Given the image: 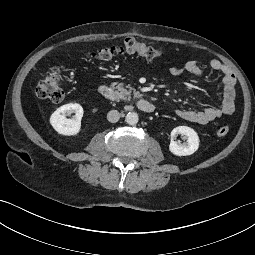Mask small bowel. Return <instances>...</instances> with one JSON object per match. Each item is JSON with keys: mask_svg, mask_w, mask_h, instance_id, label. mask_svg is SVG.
Returning <instances> with one entry per match:
<instances>
[{"mask_svg": "<svg viewBox=\"0 0 255 255\" xmlns=\"http://www.w3.org/2000/svg\"><path fill=\"white\" fill-rule=\"evenodd\" d=\"M210 67L212 70L220 72L223 76V98L221 104L202 110L178 109L176 114L181 119L205 125L234 112L237 82L235 74L218 59L211 60ZM169 72L174 76L183 73H189L197 77L204 76V71L196 60H189L182 65H174L170 67Z\"/></svg>", "mask_w": 255, "mask_h": 255, "instance_id": "small-bowel-1", "label": "small bowel"}]
</instances>
